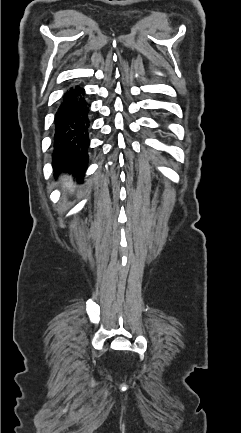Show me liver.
I'll list each match as a JSON object with an SVG mask.
<instances>
[{"mask_svg": "<svg viewBox=\"0 0 241 433\" xmlns=\"http://www.w3.org/2000/svg\"><path fill=\"white\" fill-rule=\"evenodd\" d=\"M63 187L72 191V189H73V182H72V180L69 179V178H67V177H65L64 178Z\"/></svg>", "mask_w": 241, "mask_h": 433, "instance_id": "1", "label": "liver"}]
</instances>
